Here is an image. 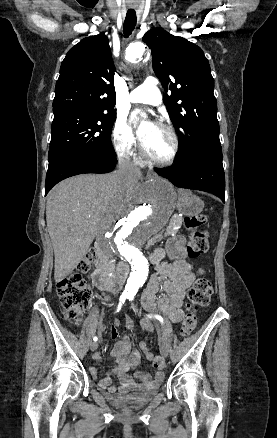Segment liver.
Here are the masks:
<instances>
[{
  "instance_id": "liver-1",
  "label": "liver",
  "mask_w": 277,
  "mask_h": 438,
  "mask_svg": "<svg viewBox=\"0 0 277 438\" xmlns=\"http://www.w3.org/2000/svg\"><path fill=\"white\" fill-rule=\"evenodd\" d=\"M140 178V176H138ZM112 174H81L63 180L47 196L46 222L55 256V282L69 276L86 256L97 232L110 230L127 205L126 189Z\"/></svg>"
}]
</instances>
